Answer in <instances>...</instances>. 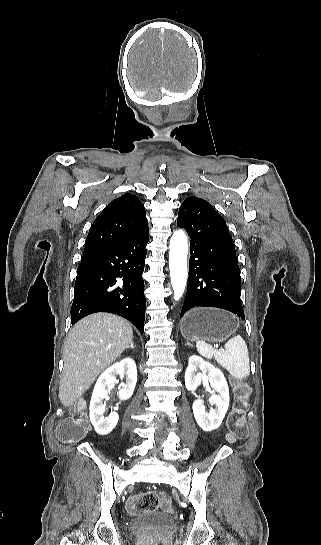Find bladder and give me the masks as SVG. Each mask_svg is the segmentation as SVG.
Returning <instances> with one entry per match:
<instances>
[{
	"mask_svg": "<svg viewBox=\"0 0 321 545\" xmlns=\"http://www.w3.org/2000/svg\"><path fill=\"white\" fill-rule=\"evenodd\" d=\"M173 525L171 517L165 513L144 511L137 514L129 528L133 533L144 534L170 529Z\"/></svg>",
	"mask_w": 321,
	"mask_h": 545,
	"instance_id": "31cf9c89",
	"label": "bladder"
}]
</instances>
